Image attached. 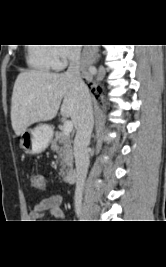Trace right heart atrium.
Returning a JSON list of instances; mask_svg holds the SVG:
<instances>
[{
  "label": "right heart atrium",
  "mask_w": 166,
  "mask_h": 267,
  "mask_svg": "<svg viewBox=\"0 0 166 267\" xmlns=\"http://www.w3.org/2000/svg\"><path fill=\"white\" fill-rule=\"evenodd\" d=\"M56 68L64 66L67 60L73 59L76 55L75 50L70 46L56 45L52 47Z\"/></svg>",
  "instance_id": "obj_1"
}]
</instances>
